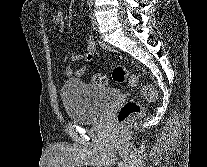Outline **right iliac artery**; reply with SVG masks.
<instances>
[{"label": "right iliac artery", "mask_w": 207, "mask_h": 167, "mask_svg": "<svg viewBox=\"0 0 207 167\" xmlns=\"http://www.w3.org/2000/svg\"><path fill=\"white\" fill-rule=\"evenodd\" d=\"M87 5L89 6V9H91L92 2L90 0H88Z\"/></svg>", "instance_id": "obj_1"}]
</instances>
